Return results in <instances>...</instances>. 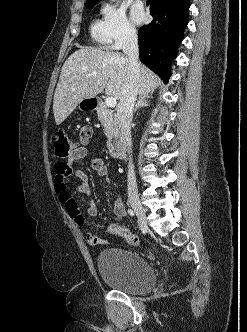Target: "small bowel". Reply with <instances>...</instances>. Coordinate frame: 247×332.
Segmentation results:
<instances>
[{
    "mask_svg": "<svg viewBox=\"0 0 247 332\" xmlns=\"http://www.w3.org/2000/svg\"><path fill=\"white\" fill-rule=\"evenodd\" d=\"M92 130L89 127H83L80 132L81 146L78 147L75 153L68 158L65 162H58L55 165V191L58 195L60 202L65 206L68 214L73 218L74 222L79 227H86V219L80 212L79 204L72 196L68 185L70 177L74 176L77 180L76 189L80 193L89 195V177L87 173L77 168L78 161L89 156L88 144ZM91 169L99 176L103 177L107 182L113 184L108 168L105 165L103 159L98 156H92L90 158ZM113 212L116 221H120L126 214L125 205L121 198H116L113 202ZM86 213L90 217H95L98 213V206L95 201H90L86 210ZM86 240L90 245H103L107 243V240L96 236L91 231H86Z\"/></svg>",
    "mask_w": 247,
    "mask_h": 332,
    "instance_id": "c3829d8e",
    "label": "small bowel"
}]
</instances>
